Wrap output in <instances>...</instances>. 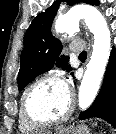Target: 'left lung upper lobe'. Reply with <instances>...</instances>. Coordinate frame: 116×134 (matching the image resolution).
Here are the masks:
<instances>
[{
    "mask_svg": "<svg viewBox=\"0 0 116 134\" xmlns=\"http://www.w3.org/2000/svg\"><path fill=\"white\" fill-rule=\"evenodd\" d=\"M64 1H55L45 12L38 14L27 30L20 57L19 90H22L38 75L52 69L54 65L62 67L63 70H72L68 65L69 57L60 55L62 51L61 42L51 33V25L59 4ZM80 1L91 5L99 4L98 0H66L69 5Z\"/></svg>",
    "mask_w": 116,
    "mask_h": 134,
    "instance_id": "1",
    "label": "left lung upper lobe"
}]
</instances>
